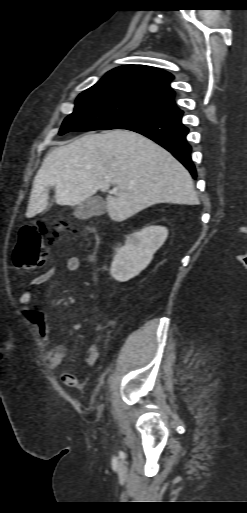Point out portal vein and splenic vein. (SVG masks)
I'll return each mask as SVG.
<instances>
[{"label":"portal vein and splenic vein","mask_w":247,"mask_h":513,"mask_svg":"<svg viewBox=\"0 0 247 513\" xmlns=\"http://www.w3.org/2000/svg\"><path fill=\"white\" fill-rule=\"evenodd\" d=\"M118 190H119V188H117V187H114V188H113V192H115V193H116Z\"/></svg>","instance_id":"18ae733b"}]
</instances>
